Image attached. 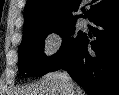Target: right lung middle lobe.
<instances>
[{
	"mask_svg": "<svg viewBox=\"0 0 119 95\" xmlns=\"http://www.w3.org/2000/svg\"><path fill=\"white\" fill-rule=\"evenodd\" d=\"M76 22H57L38 26L23 34L19 46L18 68L30 76H43L64 57L79 41L83 34L75 35ZM55 32L62 38L59 51L53 56L44 54V39L49 33Z\"/></svg>",
	"mask_w": 119,
	"mask_h": 95,
	"instance_id": "dd1d6c3e",
	"label": "right lung middle lobe"
}]
</instances>
